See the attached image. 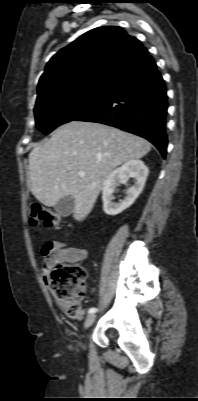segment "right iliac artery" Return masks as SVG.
Listing matches in <instances>:
<instances>
[{"label": "right iliac artery", "instance_id": "1", "mask_svg": "<svg viewBox=\"0 0 198 401\" xmlns=\"http://www.w3.org/2000/svg\"><path fill=\"white\" fill-rule=\"evenodd\" d=\"M97 311L96 308L92 307L88 310V313H95Z\"/></svg>", "mask_w": 198, "mask_h": 401}]
</instances>
